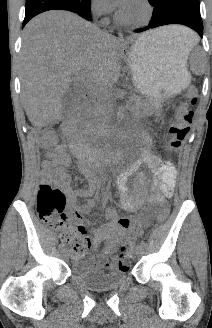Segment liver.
Returning a JSON list of instances; mask_svg holds the SVG:
<instances>
[{
  "label": "liver",
  "mask_w": 212,
  "mask_h": 328,
  "mask_svg": "<svg viewBox=\"0 0 212 328\" xmlns=\"http://www.w3.org/2000/svg\"><path fill=\"white\" fill-rule=\"evenodd\" d=\"M181 26H166L144 35L168 40L181 49L190 35ZM140 36V37H141ZM127 42L101 31L74 13L44 12L24 28L20 53L22 102L34 127H43L63 113L61 98L79 71L82 84L102 94L116 82L120 52Z\"/></svg>",
  "instance_id": "6515ba94"
}]
</instances>
